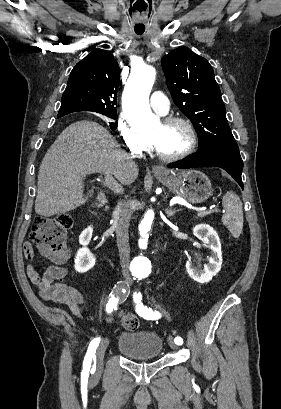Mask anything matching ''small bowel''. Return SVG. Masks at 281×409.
I'll return each mask as SVG.
<instances>
[{
	"instance_id": "obj_1",
	"label": "small bowel",
	"mask_w": 281,
	"mask_h": 409,
	"mask_svg": "<svg viewBox=\"0 0 281 409\" xmlns=\"http://www.w3.org/2000/svg\"><path fill=\"white\" fill-rule=\"evenodd\" d=\"M23 250L27 259L32 260L34 245L26 242L23 245ZM27 275L38 287L40 296L44 300L59 303L78 317L89 312V307L85 305L89 299L88 293L68 284L69 272L64 266L51 265L47 267L43 275H40L35 267L29 263Z\"/></svg>"
}]
</instances>
